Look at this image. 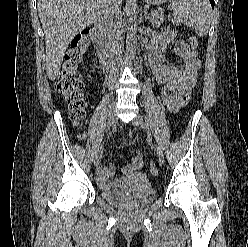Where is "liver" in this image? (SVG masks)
<instances>
[{"label": "liver", "instance_id": "6515ba94", "mask_svg": "<svg viewBox=\"0 0 248 247\" xmlns=\"http://www.w3.org/2000/svg\"><path fill=\"white\" fill-rule=\"evenodd\" d=\"M122 1V0H121ZM107 0H38L45 33L46 73L54 81L71 40L101 18Z\"/></svg>", "mask_w": 248, "mask_h": 247}]
</instances>
